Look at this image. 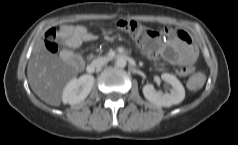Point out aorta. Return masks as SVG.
Here are the masks:
<instances>
[{"label":"aorta","mask_w":238,"mask_h":145,"mask_svg":"<svg viewBox=\"0 0 238 145\" xmlns=\"http://www.w3.org/2000/svg\"><path fill=\"white\" fill-rule=\"evenodd\" d=\"M126 59L124 57L117 58L115 65L119 68H124L126 66Z\"/></svg>","instance_id":"obj_1"}]
</instances>
